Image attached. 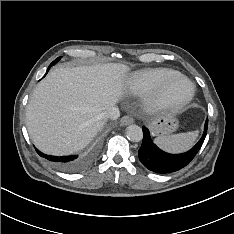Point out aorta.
I'll use <instances>...</instances> for the list:
<instances>
[{"label":"aorta","instance_id":"762f6f07","mask_svg":"<svg viewBox=\"0 0 234 234\" xmlns=\"http://www.w3.org/2000/svg\"><path fill=\"white\" fill-rule=\"evenodd\" d=\"M126 136L132 142H140L143 138V132L138 125H129L126 128Z\"/></svg>","mask_w":234,"mask_h":234}]
</instances>
